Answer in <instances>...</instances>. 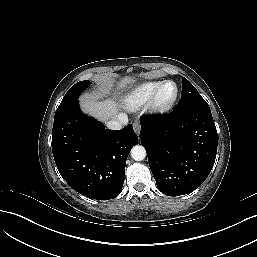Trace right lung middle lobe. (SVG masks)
Masks as SVG:
<instances>
[{
    "label": "right lung middle lobe",
    "mask_w": 257,
    "mask_h": 257,
    "mask_svg": "<svg viewBox=\"0 0 257 257\" xmlns=\"http://www.w3.org/2000/svg\"><path fill=\"white\" fill-rule=\"evenodd\" d=\"M90 84L88 80L80 81L73 85L69 91L65 94L62 102L56 110L55 116L63 113L78 102V96L80 93Z\"/></svg>",
    "instance_id": "right-lung-middle-lobe-1"
}]
</instances>
